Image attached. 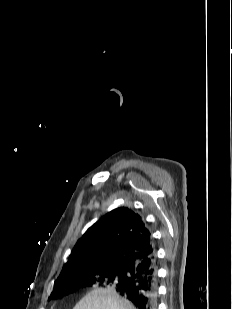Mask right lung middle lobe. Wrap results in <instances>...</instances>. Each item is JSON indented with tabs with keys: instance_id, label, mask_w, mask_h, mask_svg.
Wrapping results in <instances>:
<instances>
[{
	"instance_id": "dd1d6c3e",
	"label": "right lung middle lobe",
	"mask_w": 232,
	"mask_h": 309,
	"mask_svg": "<svg viewBox=\"0 0 232 309\" xmlns=\"http://www.w3.org/2000/svg\"><path fill=\"white\" fill-rule=\"evenodd\" d=\"M128 273L120 270H94L83 273L72 280L54 285L53 299L68 295L82 286L101 285L114 288L128 281Z\"/></svg>"
}]
</instances>
